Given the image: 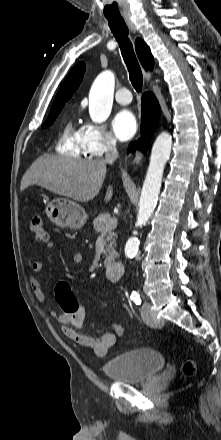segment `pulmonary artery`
Returning a JSON list of instances; mask_svg holds the SVG:
<instances>
[{
    "label": "pulmonary artery",
    "instance_id": "1",
    "mask_svg": "<svg viewBox=\"0 0 221 440\" xmlns=\"http://www.w3.org/2000/svg\"><path fill=\"white\" fill-rule=\"evenodd\" d=\"M115 99L121 105H127L132 101V96L127 88L122 87L119 90H117L115 94Z\"/></svg>",
    "mask_w": 221,
    "mask_h": 440
}]
</instances>
